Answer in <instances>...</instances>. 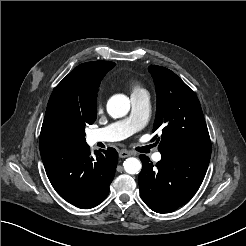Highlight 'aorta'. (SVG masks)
<instances>
[{
    "mask_svg": "<svg viewBox=\"0 0 246 246\" xmlns=\"http://www.w3.org/2000/svg\"><path fill=\"white\" fill-rule=\"evenodd\" d=\"M130 110V100L125 95H115L107 103V111L112 117H124ZM124 170L128 174H138L142 164L135 157L127 158L124 163Z\"/></svg>",
    "mask_w": 246,
    "mask_h": 246,
    "instance_id": "762f6f07",
    "label": "aorta"
}]
</instances>
